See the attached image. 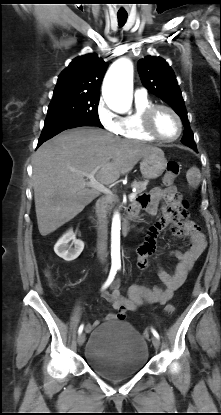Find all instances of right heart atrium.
<instances>
[{"instance_id": "1", "label": "right heart atrium", "mask_w": 221, "mask_h": 415, "mask_svg": "<svg viewBox=\"0 0 221 415\" xmlns=\"http://www.w3.org/2000/svg\"><path fill=\"white\" fill-rule=\"evenodd\" d=\"M97 118L101 126L108 132L120 133L122 117L113 112L102 99L97 105Z\"/></svg>"}]
</instances>
